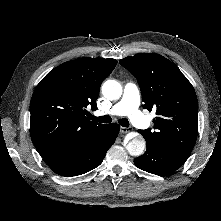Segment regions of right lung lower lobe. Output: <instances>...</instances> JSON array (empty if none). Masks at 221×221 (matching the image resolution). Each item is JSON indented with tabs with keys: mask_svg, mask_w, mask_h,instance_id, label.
I'll return each instance as SVG.
<instances>
[{
	"mask_svg": "<svg viewBox=\"0 0 221 221\" xmlns=\"http://www.w3.org/2000/svg\"><path fill=\"white\" fill-rule=\"evenodd\" d=\"M119 130L120 126L117 123L105 125L97 137L84 148L46 163L61 176L72 177L89 172L102 163L107 150L114 144Z\"/></svg>",
	"mask_w": 221,
	"mask_h": 221,
	"instance_id": "1",
	"label": "right lung lower lobe"
}]
</instances>
